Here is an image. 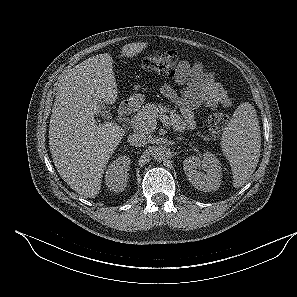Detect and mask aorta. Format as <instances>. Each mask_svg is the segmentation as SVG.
<instances>
[{
  "instance_id": "aorta-1",
  "label": "aorta",
  "mask_w": 297,
  "mask_h": 297,
  "mask_svg": "<svg viewBox=\"0 0 297 297\" xmlns=\"http://www.w3.org/2000/svg\"><path fill=\"white\" fill-rule=\"evenodd\" d=\"M152 157L161 161L168 157V149L165 146H156L152 150Z\"/></svg>"
}]
</instances>
